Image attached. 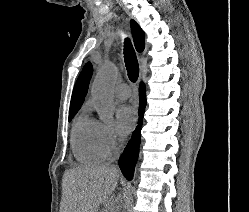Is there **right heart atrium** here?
<instances>
[{
    "mask_svg": "<svg viewBox=\"0 0 249 212\" xmlns=\"http://www.w3.org/2000/svg\"><path fill=\"white\" fill-rule=\"evenodd\" d=\"M97 140L102 159H111L117 151V139L113 130L105 124H99Z\"/></svg>",
    "mask_w": 249,
    "mask_h": 212,
    "instance_id": "right-heart-atrium-1",
    "label": "right heart atrium"
}]
</instances>
